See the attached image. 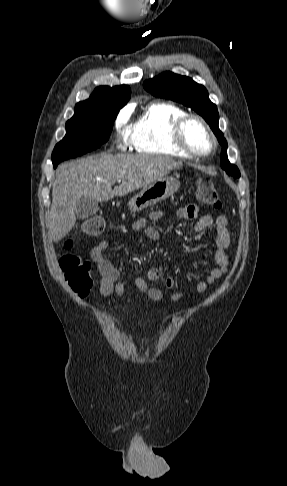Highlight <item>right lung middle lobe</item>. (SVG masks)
Masks as SVG:
<instances>
[{"label":"right lung middle lobe","mask_w":287,"mask_h":486,"mask_svg":"<svg viewBox=\"0 0 287 486\" xmlns=\"http://www.w3.org/2000/svg\"><path fill=\"white\" fill-rule=\"evenodd\" d=\"M117 114L100 108L75 109L74 116L66 123L65 137L53 150L54 167L63 160L85 154L107 142Z\"/></svg>","instance_id":"right-lung-middle-lobe-1"}]
</instances>
